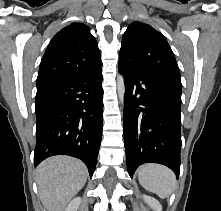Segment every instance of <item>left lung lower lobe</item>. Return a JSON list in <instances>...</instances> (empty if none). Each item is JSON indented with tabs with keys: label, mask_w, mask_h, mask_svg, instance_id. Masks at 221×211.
Returning <instances> with one entry per match:
<instances>
[{
	"label": "left lung lower lobe",
	"mask_w": 221,
	"mask_h": 211,
	"mask_svg": "<svg viewBox=\"0 0 221 211\" xmlns=\"http://www.w3.org/2000/svg\"><path fill=\"white\" fill-rule=\"evenodd\" d=\"M125 80L123 115L128 173L143 163L163 164L180 173L182 85L143 74L119 61Z\"/></svg>",
	"instance_id": "0a47b994"
}]
</instances>
